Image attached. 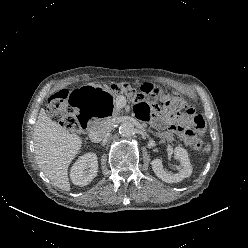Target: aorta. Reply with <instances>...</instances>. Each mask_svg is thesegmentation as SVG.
Here are the masks:
<instances>
[{"instance_id": "aorta-1", "label": "aorta", "mask_w": 248, "mask_h": 248, "mask_svg": "<svg viewBox=\"0 0 248 248\" xmlns=\"http://www.w3.org/2000/svg\"><path fill=\"white\" fill-rule=\"evenodd\" d=\"M134 130V125L130 121H124L119 126V134L124 137L132 136Z\"/></svg>"}]
</instances>
